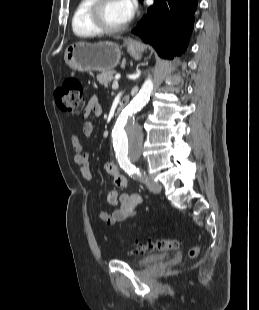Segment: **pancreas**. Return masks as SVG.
Masks as SVG:
<instances>
[{
  "instance_id": "cf45deb5",
  "label": "pancreas",
  "mask_w": 259,
  "mask_h": 310,
  "mask_svg": "<svg viewBox=\"0 0 259 310\" xmlns=\"http://www.w3.org/2000/svg\"><path fill=\"white\" fill-rule=\"evenodd\" d=\"M115 71L103 72L97 76V80L100 84H102L105 88L108 87L109 83L113 80V74Z\"/></svg>"
}]
</instances>
